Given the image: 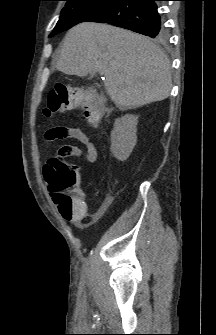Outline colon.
Instances as JSON below:
<instances>
[{
  "mask_svg": "<svg viewBox=\"0 0 216 335\" xmlns=\"http://www.w3.org/2000/svg\"><path fill=\"white\" fill-rule=\"evenodd\" d=\"M78 106L85 109L86 118L90 124L97 125L99 123L104 113V106L93 93L83 87L69 88L57 85L47 96L43 116L49 118ZM70 153L71 150L68 146H62L48 161L51 167L49 186L56 194L54 198L65 217L73 211H78L81 207L73 197V191L77 185L81 184L78 168L64 162V158L70 156Z\"/></svg>",
  "mask_w": 216,
  "mask_h": 335,
  "instance_id": "1",
  "label": "colon"
}]
</instances>
